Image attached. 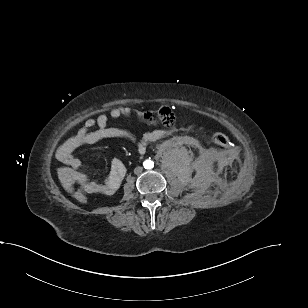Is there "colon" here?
I'll list each match as a JSON object with an SVG mask.
<instances>
[{
  "label": "colon",
  "instance_id": "5ec220e1",
  "mask_svg": "<svg viewBox=\"0 0 308 308\" xmlns=\"http://www.w3.org/2000/svg\"><path fill=\"white\" fill-rule=\"evenodd\" d=\"M143 119L150 124L159 122L165 126H171L174 123V115L172 111L167 107L161 108L157 113H147L143 116ZM213 141L222 147H228L230 144L229 138L220 132H217L213 135ZM74 198L77 202L82 204L88 201L87 193L81 189L75 191Z\"/></svg>",
  "mask_w": 308,
  "mask_h": 308
}]
</instances>
